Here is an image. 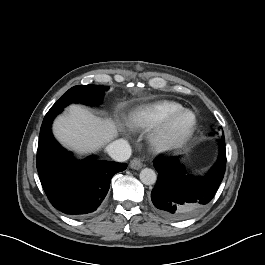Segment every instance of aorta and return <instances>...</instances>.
Masks as SVG:
<instances>
[{
	"label": "aorta",
	"instance_id": "obj_1",
	"mask_svg": "<svg viewBox=\"0 0 265 265\" xmlns=\"http://www.w3.org/2000/svg\"><path fill=\"white\" fill-rule=\"evenodd\" d=\"M140 180L145 185H153L157 180L155 171L151 168H144L140 172Z\"/></svg>",
	"mask_w": 265,
	"mask_h": 265
}]
</instances>
